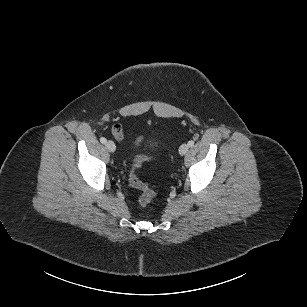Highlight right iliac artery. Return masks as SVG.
Instances as JSON below:
<instances>
[{"label":"right iliac artery","mask_w":307,"mask_h":307,"mask_svg":"<svg viewBox=\"0 0 307 307\" xmlns=\"http://www.w3.org/2000/svg\"><path fill=\"white\" fill-rule=\"evenodd\" d=\"M100 142H101L102 144H105V143L107 142V140H106V138L101 137V138H100Z\"/></svg>","instance_id":"obj_1"}]
</instances>
